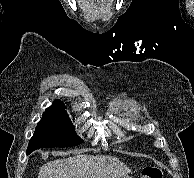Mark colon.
Masks as SVG:
<instances>
[{"mask_svg": "<svg viewBox=\"0 0 194 178\" xmlns=\"http://www.w3.org/2000/svg\"><path fill=\"white\" fill-rule=\"evenodd\" d=\"M142 178H163V171L159 167L148 166L143 169Z\"/></svg>", "mask_w": 194, "mask_h": 178, "instance_id": "5ec220e1", "label": "colon"}]
</instances>
